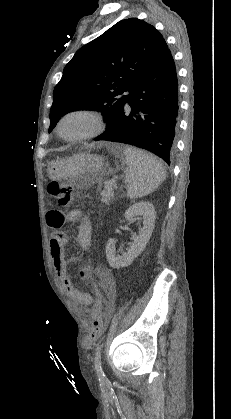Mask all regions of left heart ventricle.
Wrapping results in <instances>:
<instances>
[{"mask_svg": "<svg viewBox=\"0 0 231 419\" xmlns=\"http://www.w3.org/2000/svg\"><path fill=\"white\" fill-rule=\"evenodd\" d=\"M92 127L93 122L90 118L84 115H73L63 122L61 131L64 136L74 137L89 132Z\"/></svg>", "mask_w": 231, "mask_h": 419, "instance_id": "obj_1", "label": "left heart ventricle"}]
</instances>
